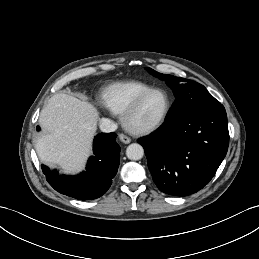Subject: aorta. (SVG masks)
<instances>
[{"label":"aorta","mask_w":259,"mask_h":259,"mask_svg":"<svg viewBox=\"0 0 259 259\" xmlns=\"http://www.w3.org/2000/svg\"><path fill=\"white\" fill-rule=\"evenodd\" d=\"M144 155V149L140 144L132 143L126 149V156L130 160H140Z\"/></svg>","instance_id":"obj_1"}]
</instances>
